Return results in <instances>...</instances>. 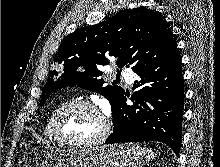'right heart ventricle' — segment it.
<instances>
[{"label":"right heart ventricle","instance_id":"1","mask_svg":"<svg viewBox=\"0 0 220 167\" xmlns=\"http://www.w3.org/2000/svg\"><path fill=\"white\" fill-rule=\"evenodd\" d=\"M67 101H63L61 103H59L58 105H56L52 111L50 112L47 120L45 121L44 127H43V135L46 139H48L51 142L54 143H59V141L57 140V138L55 137V134L53 132V119L54 116L56 114V112L58 111V109L64 105Z\"/></svg>","mask_w":220,"mask_h":167}]
</instances>
